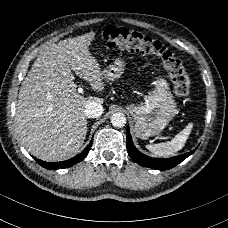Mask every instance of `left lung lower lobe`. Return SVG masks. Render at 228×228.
<instances>
[{
    "instance_id": "obj_1",
    "label": "left lung lower lobe",
    "mask_w": 228,
    "mask_h": 228,
    "mask_svg": "<svg viewBox=\"0 0 228 228\" xmlns=\"http://www.w3.org/2000/svg\"><path fill=\"white\" fill-rule=\"evenodd\" d=\"M126 138H127V151L131 159L142 166L150 167L158 170H168L173 168L174 166L182 162L184 159H186L188 156H190L196 150L195 149L191 152H188L170 159L151 158L139 152L135 148L132 142L129 127H127Z\"/></svg>"
}]
</instances>
